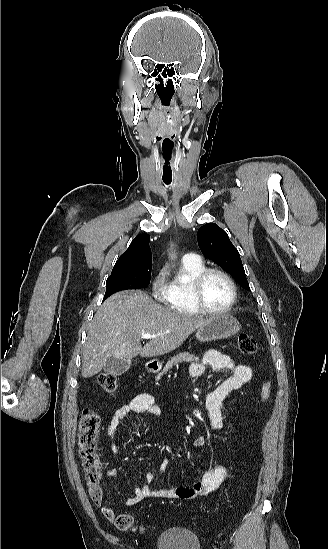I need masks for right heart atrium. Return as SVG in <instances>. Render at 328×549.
Returning <instances> with one entry per match:
<instances>
[{"label": "right heart atrium", "instance_id": "obj_1", "mask_svg": "<svg viewBox=\"0 0 328 549\" xmlns=\"http://www.w3.org/2000/svg\"><path fill=\"white\" fill-rule=\"evenodd\" d=\"M167 287V270L164 266L157 267L151 275L149 294L151 303H160Z\"/></svg>", "mask_w": 328, "mask_h": 549}]
</instances>
